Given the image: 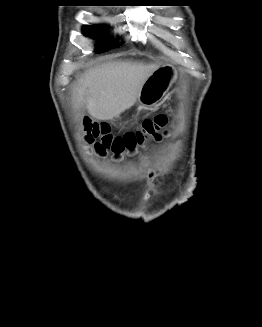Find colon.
Segmentation results:
<instances>
[{
  "label": "colon",
  "instance_id": "5ec220e1",
  "mask_svg": "<svg viewBox=\"0 0 262 327\" xmlns=\"http://www.w3.org/2000/svg\"><path fill=\"white\" fill-rule=\"evenodd\" d=\"M168 122L166 114H158L143 121L140 129L127 132L123 135H113L105 122H96L85 119L83 123L85 140L94 145L99 153L111 152L121 155L143 146L148 140H160L165 132Z\"/></svg>",
  "mask_w": 262,
  "mask_h": 327
}]
</instances>
